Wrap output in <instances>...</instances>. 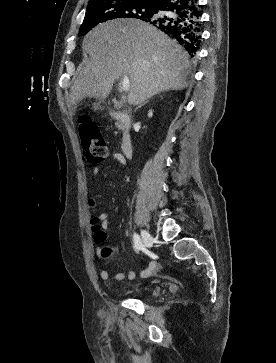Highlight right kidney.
Masks as SVG:
<instances>
[{
    "label": "right kidney",
    "instance_id": "1",
    "mask_svg": "<svg viewBox=\"0 0 276 363\" xmlns=\"http://www.w3.org/2000/svg\"><path fill=\"white\" fill-rule=\"evenodd\" d=\"M152 116H153V111L152 110H149L148 117L151 118Z\"/></svg>",
    "mask_w": 276,
    "mask_h": 363
}]
</instances>
